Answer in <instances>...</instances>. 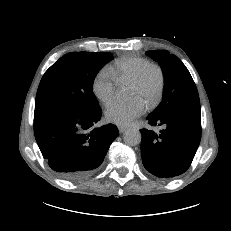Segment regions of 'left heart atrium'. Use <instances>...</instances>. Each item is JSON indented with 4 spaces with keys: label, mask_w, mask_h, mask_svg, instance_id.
<instances>
[{
    "label": "left heart atrium",
    "mask_w": 231,
    "mask_h": 231,
    "mask_svg": "<svg viewBox=\"0 0 231 231\" xmlns=\"http://www.w3.org/2000/svg\"><path fill=\"white\" fill-rule=\"evenodd\" d=\"M145 111V104L140 99L129 102H113L106 109L108 121L117 125H130Z\"/></svg>",
    "instance_id": "left-heart-atrium-1"
}]
</instances>
